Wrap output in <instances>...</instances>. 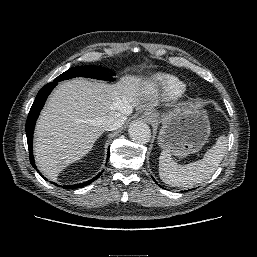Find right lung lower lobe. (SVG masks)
Returning a JSON list of instances; mask_svg holds the SVG:
<instances>
[{
  "label": "right lung lower lobe",
  "mask_w": 257,
  "mask_h": 257,
  "mask_svg": "<svg viewBox=\"0 0 257 257\" xmlns=\"http://www.w3.org/2000/svg\"><path fill=\"white\" fill-rule=\"evenodd\" d=\"M56 85H57V82L53 81V82L45 85L38 92L36 99L30 109L27 121H26L25 130H26L27 143H28V148H29V153H30V162L34 168H36V165H35L33 152H32V140H33V131H34V127H35V122L37 120V117H38L48 95L50 94V92ZM109 155H110V151L108 150V153H107L108 158H109ZM101 174H102V172H100L96 177H94L93 179H91L87 182H83V183L75 184V185H65V186H63V188L64 189H75V188H80V187L86 186V185L92 183L93 181H95ZM44 179H46V178H44Z\"/></svg>",
  "instance_id": "obj_1"
}]
</instances>
